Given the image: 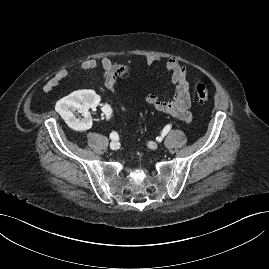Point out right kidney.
<instances>
[{
	"instance_id": "obj_1",
	"label": "right kidney",
	"mask_w": 269,
	"mask_h": 269,
	"mask_svg": "<svg viewBox=\"0 0 269 269\" xmlns=\"http://www.w3.org/2000/svg\"><path fill=\"white\" fill-rule=\"evenodd\" d=\"M100 97L92 90H78L62 98L56 103V111L61 115L65 122L73 129H89L92 121L88 115V108L96 107ZM98 108L104 112L101 117L93 121L95 128H102L108 125L115 112L111 101L106 100L99 103ZM82 113L84 118H77L75 111Z\"/></svg>"
}]
</instances>
